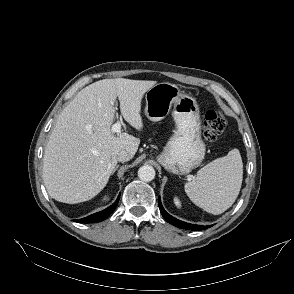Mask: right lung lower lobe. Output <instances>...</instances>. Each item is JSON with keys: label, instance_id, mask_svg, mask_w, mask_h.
I'll return each mask as SVG.
<instances>
[{"label": "right lung lower lobe", "instance_id": "98d812e1", "mask_svg": "<svg viewBox=\"0 0 294 294\" xmlns=\"http://www.w3.org/2000/svg\"><path fill=\"white\" fill-rule=\"evenodd\" d=\"M119 198H120V195L118 196L117 200L107 209H105L101 212L92 214V215L85 217L83 219H78V220H74V221L79 222V223H92V222H100V221L105 220L115 210V208L119 202Z\"/></svg>", "mask_w": 294, "mask_h": 294}]
</instances>
